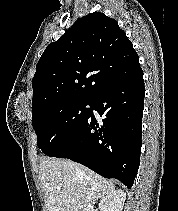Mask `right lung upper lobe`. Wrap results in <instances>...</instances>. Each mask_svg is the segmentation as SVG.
Instances as JSON below:
<instances>
[{"mask_svg": "<svg viewBox=\"0 0 178 211\" xmlns=\"http://www.w3.org/2000/svg\"><path fill=\"white\" fill-rule=\"evenodd\" d=\"M140 68L139 57L116 20L94 12L50 43L33 77V115L64 100L93 99Z\"/></svg>", "mask_w": 178, "mask_h": 211, "instance_id": "obj_1", "label": "right lung upper lobe"}]
</instances>
